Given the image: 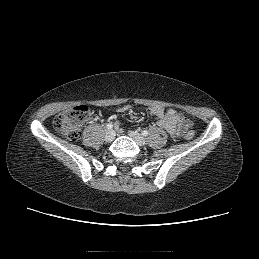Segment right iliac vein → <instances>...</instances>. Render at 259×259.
<instances>
[{
	"label": "right iliac vein",
	"instance_id": "1",
	"mask_svg": "<svg viewBox=\"0 0 259 259\" xmlns=\"http://www.w3.org/2000/svg\"><path fill=\"white\" fill-rule=\"evenodd\" d=\"M114 137H115V132H114L113 130H107V131L105 132V134H104V140H105L106 142H111V141H113Z\"/></svg>",
	"mask_w": 259,
	"mask_h": 259
}]
</instances>
